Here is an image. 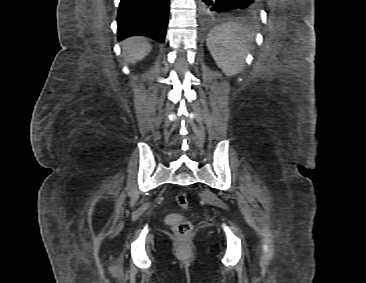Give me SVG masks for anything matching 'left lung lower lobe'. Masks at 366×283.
Listing matches in <instances>:
<instances>
[{
  "instance_id": "0a47b994",
  "label": "left lung lower lobe",
  "mask_w": 366,
  "mask_h": 283,
  "mask_svg": "<svg viewBox=\"0 0 366 283\" xmlns=\"http://www.w3.org/2000/svg\"><path fill=\"white\" fill-rule=\"evenodd\" d=\"M259 0H200V9L205 16L233 14L240 10L259 7Z\"/></svg>"
}]
</instances>
